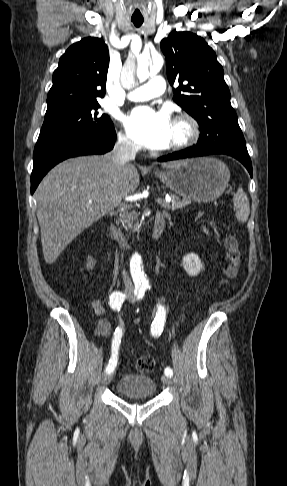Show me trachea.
Listing matches in <instances>:
<instances>
[{
  "instance_id": "3493384b",
  "label": "trachea",
  "mask_w": 287,
  "mask_h": 486,
  "mask_svg": "<svg viewBox=\"0 0 287 486\" xmlns=\"http://www.w3.org/2000/svg\"><path fill=\"white\" fill-rule=\"evenodd\" d=\"M143 23V20H133V24L136 26V27H140Z\"/></svg>"
}]
</instances>
